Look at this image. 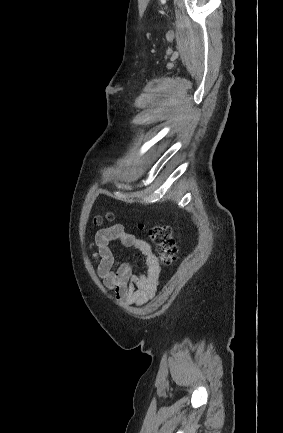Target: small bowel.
Segmentation results:
<instances>
[{"mask_svg":"<svg viewBox=\"0 0 283 433\" xmlns=\"http://www.w3.org/2000/svg\"><path fill=\"white\" fill-rule=\"evenodd\" d=\"M114 243L136 249L141 255L143 272L135 274L129 263L119 261L112 250ZM90 246L97 248L93 253L97 274L104 285L114 291L118 304L140 306L155 295L160 266L148 242L129 233L123 225L115 224L99 230Z\"/></svg>","mask_w":283,"mask_h":433,"instance_id":"obj_1","label":"small bowel"}]
</instances>
